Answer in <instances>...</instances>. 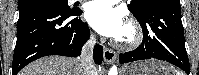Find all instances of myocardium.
Segmentation results:
<instances>
[{
	"instance_id": "1",
	"label": "myocardium",
	"mask_w": 199,
	"mask_h": 75,
	"mask_svg": "<svg viewBox=\"0 0 199 75\" xmlns=\"http://www.w3.org/2000/svg\"><path fill=\"white\" fill-rule=\"evenodd\" d=\"M129 35L127 38H119L117 41V46L121 49H133L137 47L142 40V32L139 25L131 20L127 23L126 26Z\"/></svg>"
}]
</instances>
